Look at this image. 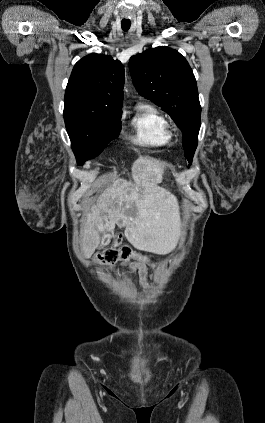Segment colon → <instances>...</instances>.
Returning a JSON list of instances; mask_svg holds the SVG:
<instances>
[{
  "label": "colon",
  "mask_w": 265,
  "mask_h": 423,
  "mask_svg": "<svg viewBox=\"0 0 265 423\" xmlns=\"http://www.w3.org/2000/svg\"><path fill=\"white\" fill-rule=\"evenodd\" d=\"M120 260L133 261L141 264L148 262L147 257L143 254L133 250L129 246H121L120 237L118 236L114 246L98 254L97 261L103 265H111Z\"/></svg>",
  "instance_id": "colon-1"
}]
</instances>
